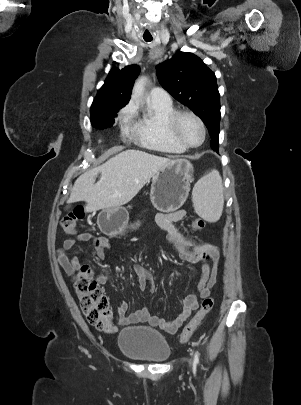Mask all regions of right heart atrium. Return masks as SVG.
Segmentation results:
<instances>
[{
	"mask_svg": "<svg viewBox=\"0 0 301 405\" xmlns=\"http://www.w3.org/2000/svg\"><path fill=\"white\" fill-rule=\"evenodd\" d=\"M133 113V107L131 104L125 106L119 114V119L122 122L128 123Z\"/></svg>",
	"mask_w": 301,
	"mask_h": 405,
	"instance_id": "d8ad5b80",
	"label": "right heart atrium"
}]
</instances>
